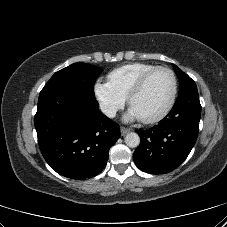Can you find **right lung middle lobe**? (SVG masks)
I'll return each instance as SVG.
<instances>
[{"instance_id":"right-lung-middle-lobe-1","label":"right lung middle lobe","mask_w":227,"mask_h":227,"mask_svg":"<svg viewBox=\"0 0 227 227\" xmlns=\"http://www.w3.org/2000/svg\"><path fill=\"white\" fill-rule=\"evenodd\" d=\"M102 71V68L90 64L74 63L56 72L43 89L68 85L77 88L89 97H95L94 84Z\"/></svg>"}]
</instances>
